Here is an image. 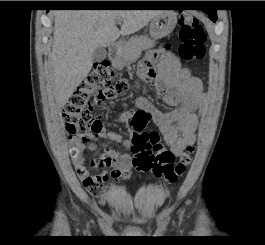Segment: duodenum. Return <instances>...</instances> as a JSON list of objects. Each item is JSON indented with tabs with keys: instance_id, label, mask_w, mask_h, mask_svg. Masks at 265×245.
Returning <instances> with one entry per match:
<instances>
[{
	"instance_id": "duodenum-1",
	"label": "duodenum",
	"mask_w": 265,
	"mask_h": 245,
	"mask_svg": "<svg viewBox=\"0 0 265 245\" xmlns=\"http://www.w3.org/2000/svg\"><path fill=\"white\" fill-rule=\"evenodd\" d=\"M121 48H122V43L120 41L112 43L109 47V56L112 59H118L121 55Z\"/></svg>"
}]
</instances>
